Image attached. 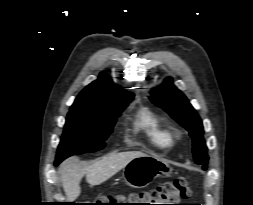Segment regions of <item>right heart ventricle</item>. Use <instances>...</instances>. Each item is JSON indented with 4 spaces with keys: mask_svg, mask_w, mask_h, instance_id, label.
<instances>
[{
    "mask_svg": "<svg viewBox=\"0 0 253 205\" xmlns=\"http://www.w3.org/2000/svg\"><path fill=\"white\" fill-rule=\"evenodd\" d=\"M136 133L142 134L158 148L169 147L172 143L171 132L162 124L159 117L149 109L141 110L134 121Z\"/></svg>",
    "mask_w": 253,
    "mask_h": 205,
    "instance_id": "obj_1",
    "label": "right heart ventricle"
}]
</instances>
